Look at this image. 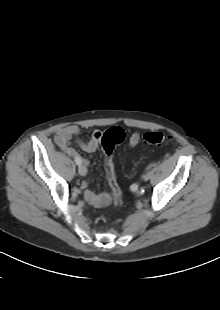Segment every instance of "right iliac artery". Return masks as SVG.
Here are the masks:
<instances>
[{
    "mask_svg": "<svg viewBox=\"0 0 220 310\" xmlns=\"http://www.w3.org/2000/svg\"><path fill=\"white\" fill-rule=\"evenodd\" d=\"M74 160H75L77 165H81L82 160L79 157H76Z\"/></svg>",
    "mask_w": 220,
    "mask_h": 310,
    "instance_id": "right-iliac-artery-1",
    "label": "right iliac artery"
}]
</instances>
